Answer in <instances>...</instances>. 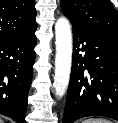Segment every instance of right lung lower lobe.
<instances>
[{
  "mask_svg": "<svg viewBox=\"0 0 118 123\" xmlns=\"http://www.w3.org/2000/svg\"><path fill=\"white\" fill-rule=\"evenodd\" d=\"M30 34L0 41V114L25 123L37 43Z\"/></svg>",
  "mask_w": 118,
  "mask_h": 123,
  "instance_id": "1",
  "label": "right lung lower lobe"
}]
</instances>
